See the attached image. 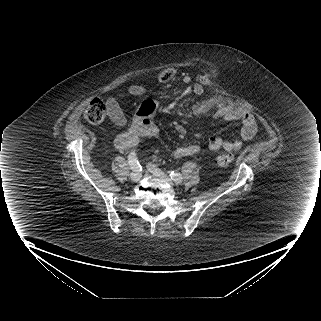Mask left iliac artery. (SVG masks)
<instances>
[{
  "label": "left iliac artery",
  "instance_id": "obj_1",
  "mask_svg": "<svg viewBox=\"0 0 321 321\" xmlns=\"http://www.w3.org/2000/svg\"><path fill=\"white\" fill-rule=\"evenodd\" d=\"M169 176L176 183H181L183 181L182 175L178 172L171 171L169 172Z\"/></svg>",
  "mask_w": 321,
  "mask_h": 321
}]
</instances>
